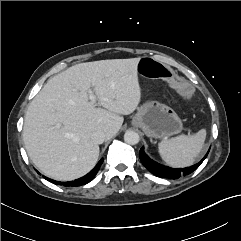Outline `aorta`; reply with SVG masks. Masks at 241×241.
<instances>
[{
	"label": "aorta",
	"instance_id": "obj_1",
	"mask_svg": "<svg viewBox=\"0 0 241 241\" xmlns=\"http://www.w3.org/2000/svg\"><path fill=\"white\" fill-rule=\"evenodd\" d=\"M124 141H125L127 144L136 145V144L139 143L140 137H139L138 133H136V132H134V131H127V132L124 134Z\"/></svg>",
	"mask_w": 241,
	"mask_h": 241
}]
</instances>
